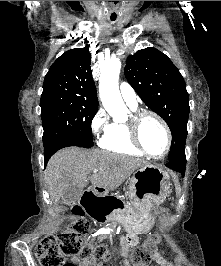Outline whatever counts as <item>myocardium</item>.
<instances>
[{
  "label": "myocardium",
  "instance_id": "f54148a6",
  "mask_svg": "<svg viewBox=\"0 0 221 266\" xmlns=\"http://www.w3.org/2000/svg\"><path fill=\"white\" fill-rule=\"evenodd\" d=\"M149 116L155 118L160 123L166 135V147L160 155H153L149 151H147V149L144 147L140 139L141 123L146 117H149ZM126 124L129 130V135H130V139L132 143L144 155L154 160H161L167 156V154L170 151L171 144H172V135H171V131H170L168 124L159 114H157L154 111H150V110L136 111L130 116Z\"/></svg>",
  "mask_w": 221,
  "mask_h": 266
}]
</instances>
